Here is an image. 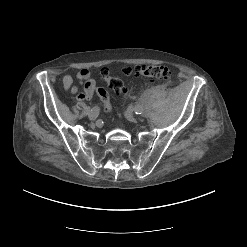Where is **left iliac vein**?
<instances>
[{"label": "left iliac vein", "instance_id": "4c4485c4", "mask_svg": "<svg viewBox=\"0 0 247 247\" xmlns=\"http://www.w3.org/2000/svg\"><path fill=\"white\" fill-rule=\"evenodd\" d=\"M125 117L129 120V121H132L134 122L136 119L132 113V111L128 110L125 112Z\"/></svg>", "mask_w": 247, "mask_h": 247}]
</instances>
